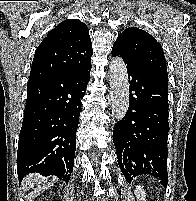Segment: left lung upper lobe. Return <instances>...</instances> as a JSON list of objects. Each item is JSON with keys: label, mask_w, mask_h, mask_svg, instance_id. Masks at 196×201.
Here are the masks:
<instances>
[{"label": "left lung upper lobe", "mask_w": 196, "mask_h": 201, "mask_svg": "<svg viewBox=\"0 0 196 201\" xmlns=\"http://www.w3.org/2000/svg\"><path fill=\"white\" fill-rule=\"evenodd\" d=\"M112 49L119 51L126 62L168 81L163 49L146 31L136 27L127 28L119 34Z\"/></svg>", "instance_id": "obj_1"}]
</instances>
